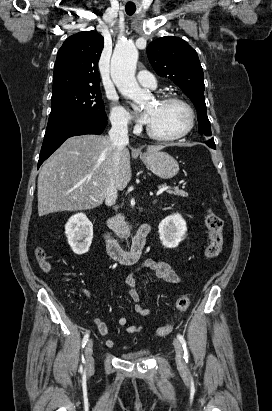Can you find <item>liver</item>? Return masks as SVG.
I'll return each mask as SVG.
<instances>
[{
    "instance_id": "1",
    "label": "liver",
    "mask_w": 272,
    "mask_h": 411,
    "mask_svg": "<svg viewBox=\"0 0 272 411\" xmlns=\"http://www.w3.org/2000/svg\"><path fill=\"white\" fill-rule=\"evenodd\" d=\"M163 148L148 146L147 151L158 152ZM114 152L109 137L82 135L67 139L40 170L39 216L100 206L105 199ZM131 176L130 152L124 147L116 174L117 189L124 190Z\"/></svg>"
}]
</instances>
